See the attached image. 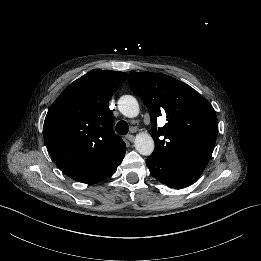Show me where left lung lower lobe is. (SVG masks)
<instances>
[{
  "mask_svg": "<svg viewBox=\"0 0 261 261\" xmlns=\"http://www.w3.org/2000/svg\"><path fill=\"white\" fill-rule=\"evenodd\" d=\"M146 164L153 177L175 189H182L195 183L203 170L189 166L176 165L150 155Z\"/></svg>",
  "mask_w": 261,
  "mask_h": 261,
  "instance_id": "1",
  "label": "left lung lower lobe"
}]
</instances>
